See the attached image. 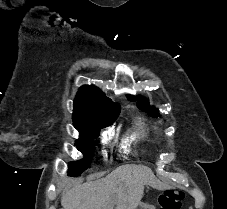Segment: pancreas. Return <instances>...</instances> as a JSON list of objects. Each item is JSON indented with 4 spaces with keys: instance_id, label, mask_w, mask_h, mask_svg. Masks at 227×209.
I'll use <instances>...</instances> for the list:
<instances>
[{
    "instance_id": "cf45deb5",
    "label": "pancreas",
    "mask_w": 227,
    "mask_h": 209,
    "mask_svg": "<svg viewBox=\"0 0 227 209\" xmlns=\"http://www.w3.org/2000/svg\"><path fill=\"white\" fill-rule=\"evenodd\" d=\"M141 209H147L145 206H143Z\"/></svg>"
}]
</instances>
